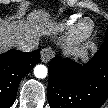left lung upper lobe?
Segmentation results:
<instances>
[{
    "label": "left lung upper lobe",
    "mask_w": 108,
    "mask_h": 108,
    "mask_svg": "<svg viewBox=\"0 0 108 108\" xmlns=\"http://www.w3.org/2000/svg\"><path fill=\"white\" fill-rule=\"evenodd\" d=\"M106 37H108V30H107V33H106Z\"/></svg>",
    "instance_id": "obj_1"
}]
</instances>
